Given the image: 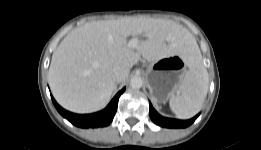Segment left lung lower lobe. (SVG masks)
Masks as SVG:
<instances>
[{
	"label": "left lung lower lobe",
	"instance_id": "0a47b994",
	"mask_svg": "<svg viewBox=\"0 0 261 150\" xmlns=\"http://www.w3.org/2000/svg\"><path fill=\"white\" fill-rule=\"evenodd\" d=\"M150 117L154 123L161 127H167V128H185L189 125H191L196 118L200 115H196L194 118L190 120H177V119H170V118H165L159 115L154 108L152 107L150 103V110H149Z\"/></svg>",
	"mask_w": 261,
	"mask_h": 150
}]
</instances>
